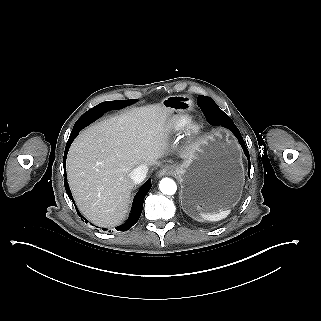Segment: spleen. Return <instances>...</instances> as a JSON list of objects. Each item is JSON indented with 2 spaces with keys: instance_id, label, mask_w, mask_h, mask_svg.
Wrapping results in <instances>:
<instances>
[{
  "instance_id": "1",
  "label": "spleen",
  "mask_w": 321,
  "mask_h": 321,
  "mask_svg": "<svg viewBox=\"0 0 321 321\" xmlns=\"http://www.w3.org/2000/svg\"><path fill=\"white\" fill-rule=\"evenodd\" d=\"M229 213L230 210H221L218 213H202L201 215L205 220L218 221L228 216Z\"/></svg>"
}]
</instances>
